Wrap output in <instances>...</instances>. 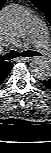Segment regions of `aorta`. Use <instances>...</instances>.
Masks as SVG:
<instances>
[{
  "label": "aorta",
  "mask_w": 51,
  "mask_h": 153,
  "mask_svg": "<svg viewBox=\"0 0 51 153\" xmlns=\"http://www.w3.org/2000/svg\"><path fill=\"white\" fill-rule=\"evenodd\" d=\"M30 24L29 14L23 7L8 6L1 13V25L9 36L19 35L26 31ZM31 72L39 80L51 77V63L45 57L35 58L31 64Z\"/></svg>",
  "instance_id": "aorta-1"
}]
</instances>
